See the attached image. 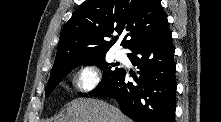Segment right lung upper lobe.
<instances>
[{"instance_id": "obj_1", "label": "right lung upper lobe", "mask_w": 221, "mask_h": 122, "mask_svg": "<svg viewBox=\"0 0 221 122\" xmlns=\"http://www.w3.org/2000/svg\"><path fill=\"white\" fill-rule=\"evenodd\" d=\"M165 22L167 16L159 0H86L61 32L50 76L73 64L105 56L118 37L113 34H126L121 45L132 50Z\"/></svg>"}]
</instances>
